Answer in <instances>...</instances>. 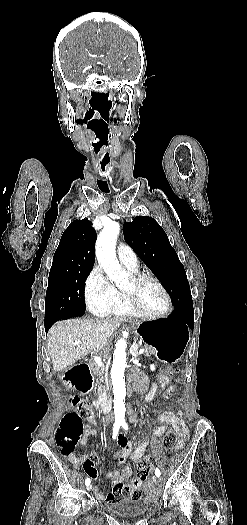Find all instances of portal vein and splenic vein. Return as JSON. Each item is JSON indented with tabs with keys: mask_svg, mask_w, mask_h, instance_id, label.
Returning <instances> with one entry per match:
<instances>
[{
	"mask_svg": "<svg viewBox=\"0 0 247 525\" xmlns=\"http://www.w3.org/2000/svg\"><path fill=\"white\" fill-rule=\"evenodd\" d=\"M75 345H78V343H75ZM137 353H145L144 347H141V350H137ZM91 358L94 359V363H98V366H101V363L104 361V358L98 356V354L91 355Z\"/></svg>",
	"mask_w": 247,
	"mask_h": 525,
	"instance_id": "1",
	"label": "portal vein and splenic vein"
}]
</instances>
